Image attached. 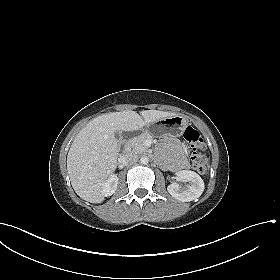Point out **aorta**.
I'll return each instance as SVG.
<instances>
[{
  "label": "aorta",
  "instance_id": "762f6f07",
  "mask_svg": "<svg viewBox=\"0 0 280 280\" xmlns=\"http://www.w3.org/2000/svg\"><path fill=\"white\" fill-rule=\"evenodd\" d=\"M140 162H141V164H143V165H147V164L149 163V158H148L147 156H142V157L140 158Z\"/></svg>",
  "mask_w": 280,
  "mask_h": 280
}]
</instances>
